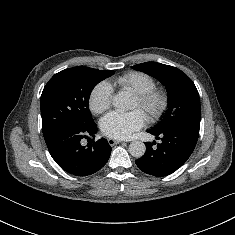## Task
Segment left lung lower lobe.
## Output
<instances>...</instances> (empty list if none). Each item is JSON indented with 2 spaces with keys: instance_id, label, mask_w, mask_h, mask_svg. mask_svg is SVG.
<instances>
[{
  "instance_id": "left-lung-lower-lobe-1",
  "label": "left lung lower lobe",
  "mask_w": 235,
  "mask_h": 235,
  "mask_svg": "<svg viewBox=\"0 0 235 235\" xmlns=\"http://www.w3.org/2000/svg\"><path fill=\"white\" fill-rule=\"evenodd\" d=\"M147 132L162 143H146V153L136 160L137 166L145 173L153 176H167L180 168L192 154L199 136V128L183 126L163 132L148 130Z\"/></svg>"
}]
</instances>
